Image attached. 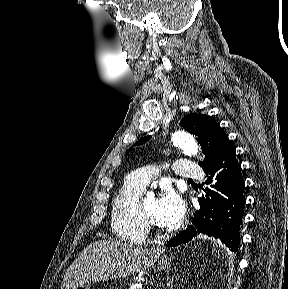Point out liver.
<instances>
[{
  "instance_id": "6515ba94",
  "label": "liver",
  "mask_w": 288,
  "mask_h": 289,
  "mask_svg": "<svg viewBox=\"0 0 288 289\" xmlns=\"http://www.w3.org/2000/svg\"><path fill=\"white\" fill-rule=\"evenodd\" d=\"M163 252L111 239L95 241L67 269L61 289L133 275L152 267Z\"/></svg>"
}]
</instances>
